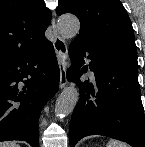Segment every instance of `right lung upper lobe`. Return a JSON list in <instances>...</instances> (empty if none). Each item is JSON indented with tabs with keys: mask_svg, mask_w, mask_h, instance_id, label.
Returning a JSON list of instances; mask_svg holds the SVG:
<instances>
[{
	"mask_svg": "<svg viewBox=\"0 0 145 147\" xmlns=\"http://www.w3.org/2000/svg\"><path fill=\"white\" fill-rule=\"evenodd\" d=\"M51 18L43 0H0V65L45 43Z\"/></svg>",
	"mask_w": 145,
	"mask_h": 147,
	"instance_id": "obj_1",
	"label": "right lung upper lobe"
}]
</instances>
